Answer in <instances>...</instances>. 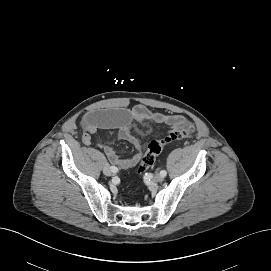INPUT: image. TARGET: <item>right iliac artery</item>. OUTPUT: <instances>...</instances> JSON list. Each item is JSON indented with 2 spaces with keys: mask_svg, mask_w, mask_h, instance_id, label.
I'll list each match as a JSON object with an SVG mask.
<instances>
[{
  "mask_svg": "<svg viewBox=\"0 0 271 271\" xmlns=\"http://www.w3.org/2000/svg\"><path fill=\"white\" fill-rule=\"evenodd\" d=\"M110 169L113 173H117L118 172V168L116 166H110Z\"/></svg>",
  "mask_w": 271,
  "mask_h": 271,
  "instance_id": "right-iliac-artery-1",
  "label": "right iliac artery"
}]
</instances>
